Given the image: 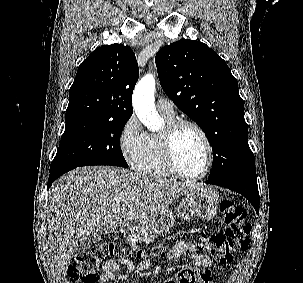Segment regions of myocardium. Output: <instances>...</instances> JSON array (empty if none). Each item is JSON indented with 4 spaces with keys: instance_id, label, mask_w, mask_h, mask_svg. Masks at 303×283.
Returning <instances> with one entry per match:
<instances>
[{
    "instance_id": "f54148a6",
    "label": "myocardium",
    "mask_w": 303,
    "mask_h": 283,
    "mask_svg": "<svg viewBox=\"0 0 303 283\" xmlns=\"http://www.w3.org/2000/svg\"><path fill=\"white\" fill-rule=\"evenodd\" d=\"M185 127L192 128L198 133L205 145L207 152L206 166L202 173L195 176H190L183 173L176 161L175 141L180 130ZM160 141L165 163L174 176L187 181H197L206 177L210 172L214 161L213 147L207 134L197 123L190 120H174L167 124L166 128L160 135Z\"/></svg>"
}]
</instances>
